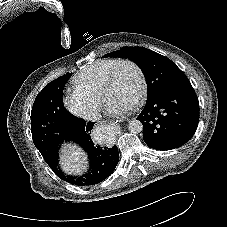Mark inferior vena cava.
Instances as JSON below:
<instances>
[{
  "label": "inferior vena cava",
  "mask_w": 227,
  "mask_h": 227,
  "mask_svg": "<svg viewBox=\"0 0 227 227\" xmlns=\"http://www.w3.org/2000/svg\"><path fill=\"white\" fill-rule=\"evenodd\" d=\"M83 118L89 121H97L101 118V114L98 111L90 110L83 115Z\"/></svg>",
  "instance_id": "obj_1"
}]
</instances>
